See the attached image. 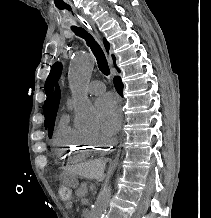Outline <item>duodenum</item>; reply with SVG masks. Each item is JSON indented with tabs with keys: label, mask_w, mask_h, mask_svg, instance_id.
<instances>
[{
	"label": "duodenum",
	"mask_w": 211,
	"mask_h": 218,
	"mask_svg": "<svg viewBox=\"0 0 211 218\" xmlns=\"http://www.w3.org/2000/svg\"><path fill=\"white\" fill-rule=\"evenodd\" d=\"M83 217H84V218H89V217H90V210L85 209V210L83 211Z\"/></svg>",
	"instance_id": "410a0bca"
}]
</instances>
